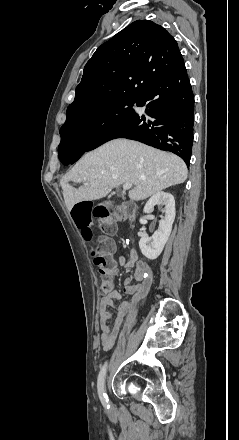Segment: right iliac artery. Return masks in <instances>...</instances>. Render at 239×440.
Wrapping results in <instances>:
<instances>
[{"label":"right iliac artery","instance_id":"right-iliac-artery-1","mask_svg":"<svg viewBox=\"0 0 239 440\" xmlns=\"http://www.w3.org/2000/svg\"><path fill=\"white\" fill-rule=\"evenodd\" d=\"M107 363L101 368V371L98 375L97 388L98 395L104 407L109 408L108 397L105 393V376H106Z\"/></svg>","mask_w":239,"mask_h":440}]
</instances>
